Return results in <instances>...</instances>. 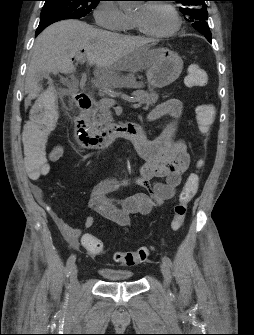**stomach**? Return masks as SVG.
<instances>
[{"mask_svg": "<svg viewBox=\"0 0 254 335\" xmlns=\"http://www.w3.org/2000/svg\"><path fill=\"white\" fill-rule=\"evenodd\" d=\"M152 64L146 76L151 88H163L176 81L183 69L181 57L166 48L152 49Z\"/></svg>", "mask_w": 254, "mask_h": 335, "instance_id": "stomach-1", "label": "stomach"}]
</instances>
